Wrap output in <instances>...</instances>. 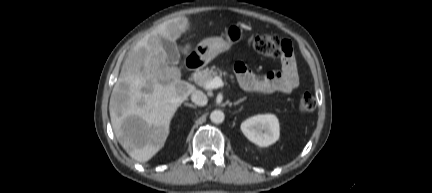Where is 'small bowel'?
Instances as JSON below:
<instances>
[{"label": "small bowel", "mask_w": 432, "mask_h": 193, "mask_svg": "<svg viewBox=\"0 0 432 193\" xmlns=\"http://www.w3.org/2000/svg\"><path fill=\"white\" fill-rule=\"evenodd\" d=\"M240 85L247 91L258 94L281 92L292 93L299 85V77L295 61L292 57L283 58L280 71H272L266 75L254 74L243 62L234 66Z\"/></svg>", "instance_id": "obj_1"}]
</instances>
